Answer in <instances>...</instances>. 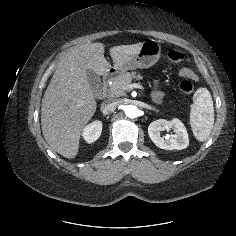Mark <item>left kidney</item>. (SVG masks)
I'll use <instances>...</instances> for the list:
<instances>
[{
    "label": "left kidney",
    "mask_w": 236,
    "mask_h": 236,
    "mask_svg": "<svg viewBox=\"0 0 236 236\" xmlns=\"http://www.w3.org/2000/svg\"><path fill=\"white\" fill-rule=\"evenodd\" d=\"M172 130L171 137H163L161 131ZM148 134L153 143L165 150H182L189 145L188 133L184 124L179 119L171 121L165 119L155 120L148 126Z\"/></svg>",
    "instance_id": "obj_1"
}]
</instances>
